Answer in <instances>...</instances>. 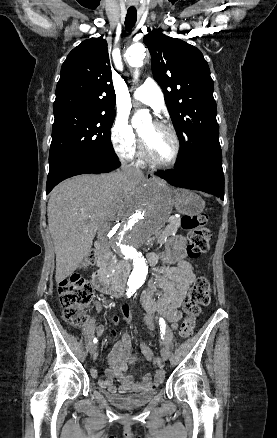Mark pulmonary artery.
I'll return each mask as SVG.
<instances>
[{"label":"pulmonary artery","instance_id":"e3ab8cb5","mask_svg":"<svg viewBox=\"0 0 277 438\" xmlns=\"http://www.w3.org/2000/svg\"><path fill=\"white\" fill-rule=\"evenodd\" d=\"M156 81L155 76H148L147 80L143 82V87L134 91L133 98L156 111H161L164 108V93L160 87H155Z\"/></svg>","mask_w":277,"mask_h":438}]
</instances>
